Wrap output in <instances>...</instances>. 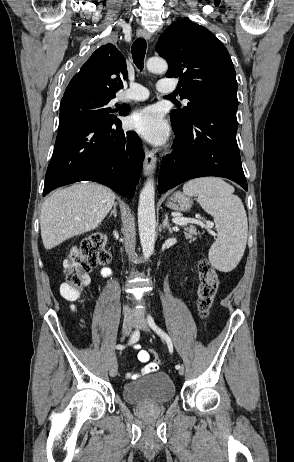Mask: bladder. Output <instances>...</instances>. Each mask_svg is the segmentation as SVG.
Instances as JSON below:
<instances>
[{
  "mask_svg": "<svg viewBox=\"0 0 294 462\" xmlns=\"http://www.w3.org/2000/svg\"><path fill=\"white\" fill-rule=\"evenodd\" d=\"M124 399L136 406L163 405L172 400L176 389L166 373L156 372L123 387Z\"/></svg>",
  "mask_w": 294,
  "mask_h": 462,
  "instance_id": "1",
  "label": "bladder"
}]
</instances>
